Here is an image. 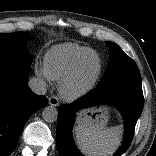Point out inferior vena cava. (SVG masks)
<instances>
[{
  "mask_svg": "<svg viewBox=\"0 0 156 156\" xmlns=\"http://www.w3.org/2000/svg\"><path fill=\"white\" fill-rule=\"evenodd\" d=\"M28 85L29 88L37 95H44L47 91L46 82L41 78H31Z\"/></svg>",
  "mask_w": 156,
  "mask_h": 156,
  "instance_id": "1",
  "label": "inferior vena cava"
}]
</instances>
